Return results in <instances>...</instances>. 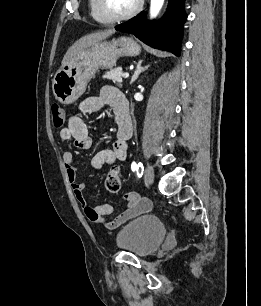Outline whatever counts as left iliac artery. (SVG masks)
I'll return each instance as SVG.
<instances>
[{
    "label": "left iliac artery",
    "instance_id": "left-iliac-artery-1",
    "mask_svg": "<svg viewBox=\"0 0 261 306\" xmlns=\"http://www.w3.org/2000/svg\"><path fill=\"white\" fill-rule=\"evenodd\" d=\"M131 169H132V171H137V175L139 177L142 176L144 168H143V164L141 162H139L138 164L133 162L132 165H131Z\"/></svg>",
    "mask_w": 261,
    "mask_h": 306
}]
</instances>
